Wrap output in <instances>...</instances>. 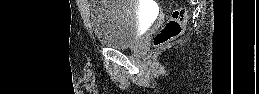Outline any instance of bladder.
Masks as SVG:
<instances>
[{"instance_id":"31cf9c89","label":"bladder","mask_w":259,"mask_h":94,"mask_svg":"<svg viewBox=\"0 0 259 94\" xmlns=\"http://www.w3.org/2000/svg\"><path fill=\"white\" fill-rule=\"evenodd\" d=\"M90 23L97 40L109 48H129L141 36V10L132 0L90 1Z\"/></svg>"}]
</instances>
